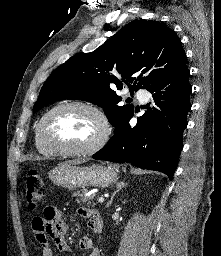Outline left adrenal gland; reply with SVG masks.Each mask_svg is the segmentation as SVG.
I'll return each mask as SVG.
<instances>
[{
    "label": "left adrenal gland",
    "instance_id": "left-adrenal-gland-1",
    "mask_svg": "<svg viewBox=\"0 0 221 256\" xmlns=\"http://www.w3.org/2000/svg\"><path fill=\"white\" fill-rule=\"evenodd\" d=\"M126 186H127V183H125L124 181L117 183L116 191L112 194L110 200L108 201V203H107V205H106L107 208L110 207V205H111V203H112V201H113L115 195H116L119 191H121L123 188H125Z\"/></svg>",
    "mask_w": 221,
    "mask_h": 256
}]
</instances>
